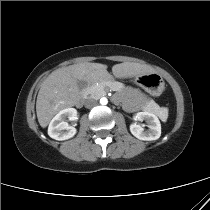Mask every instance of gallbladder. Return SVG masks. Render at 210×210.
<instances>
[{"mask_svg": "<svg viewBox=\"0 0 210 210\" xmlns=\"http://www.w3.org/2000/svg\"><path fill=\"white\" fill-rule=\"evenodd\" d=\"M77 84H78V87L82 90V89H84L86 86H87V83L85 82V81H83V80H79L78 82H77Z\"/></svg>", "mask_w": 210, "mask_h": 210, "instance_id": "obj_1", "label": "gallbladder"}]
</instances>
